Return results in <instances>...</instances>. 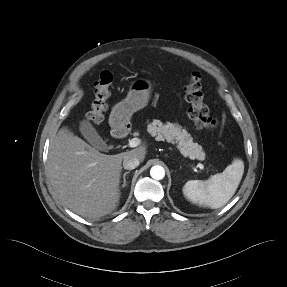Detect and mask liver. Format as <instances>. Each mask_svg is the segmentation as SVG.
Returning <instances> with one entry per match:
<instances>
[{"label":"liver","mask_w":287,"mask_h":287,"mask_svg":"<svg viewBox=\"0 0 287 287\" xmlns=\"http://www.w3.org/2000/svg\"><path fill=\"white\" fill-rule=\"evenodd\" d=\"M146 145L116 155L100 153L67 127L50 143L47 172L51 189L76 214L98 219L112 213L120 199L122 161L128 155L143 161Z\"/></svg>","instance_id":"1"}]
</instances>
